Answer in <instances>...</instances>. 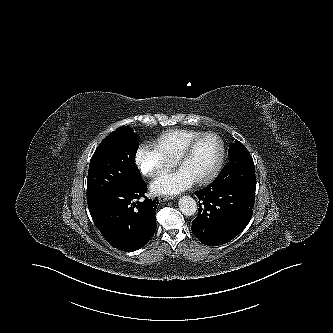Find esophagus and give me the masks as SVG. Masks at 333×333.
Segmentation results:
<instances>
[{
    "label": "esophagus",
    "instance_id": "obj_1",
    "mask_svg": "<svg viewBox=\"0 0 333 333\" xmlns=\"http://www.w3.org/2000/svg\"><path fill=\"white\" fill-rule=\"evenodd\" d=\"M173 199V196H168V195H160L158 197V200L160 202H163V201H168V200H172Z\"/></svg>",
    "mask_w": 333,
    "mask_h": 333
}]
</instances>
